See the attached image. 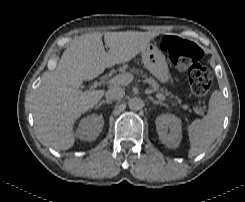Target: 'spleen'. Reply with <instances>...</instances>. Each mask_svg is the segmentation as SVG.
I'll return each instance as SVG.
<instances>
[{
  "label": "spleen",
  "instance_id": "obj_1",
  "mask_svg": "<svg viewBox=\"0 0 245 202\" xmlns=\"http://www.w3.org/2000/svg\"><path fill=\"white\" fill-rule=\"evenodd\" d=\"M225 100L220 91H214L209 100L207 115L195 120L188 126L190 150L188 157L192 158L208 149L222 130L225 116Z\"/></svg>",
  "mask_w": 245,
  "mask_h": 202
}]
</instances>
